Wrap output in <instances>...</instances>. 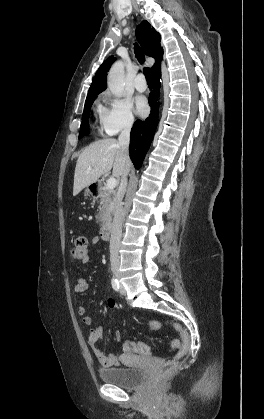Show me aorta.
I'll return each mask as SVG.
<instances>
[{
  "label": "aorta",
  "instance_id": "obj_1",
  "mask_svg": "<svg viewBox=\"0 0 264 419\" xmlns=\"http://www.w3.org/2000/svg\"><path fill=\"white\" fill-rule=\"evenodd\" d=\"M107 84L112 93L121 96L124 91V63L115 62L109 70Z\"/></svg>",
  "mask_w": 264,
  "mask_h": 419
}]
</instances>
